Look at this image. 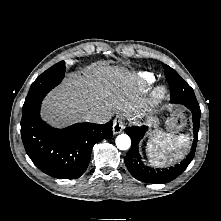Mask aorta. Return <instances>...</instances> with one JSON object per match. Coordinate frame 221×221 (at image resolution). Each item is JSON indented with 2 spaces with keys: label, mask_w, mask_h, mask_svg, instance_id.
Masks as SVG:
<instances>
[{
  "label": "aorta",
  "mask_w": 221,
  "mask_h": 221,
  "mask_svg": "<svg viewBox=\"0 0 221 221\" xmlns=\"http://www.w3.org/2000/svg\"><path fill=\"white\" fill-rule=\"evenodd\" d=\"M116 146L120 150H127L131 145V139L127 134H120L116 138Z\"/></svg>",
  "instance_id": "obj_1"
}]
</instances>
